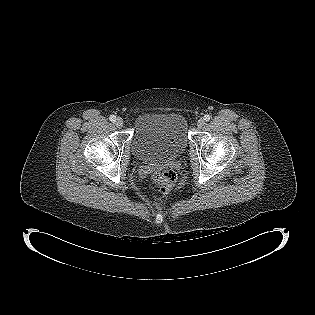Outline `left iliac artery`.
<instances>
[{"mask_svg": "<svg viewBox=\"0 0 315 315\" xmlns=\"http://www.w3.org/2000/svg\"><path fill=\"white\" fill-rule=\"evenodd\" d=\"M210 118H211V117H210V115H208V114H206V115L204 116V120H205V121H209Z\"/></svg>", "mask_w": 315, "mask_h": 315, "instance_id": "44dca946", "label": "left iliac artery"}]
</instances>
